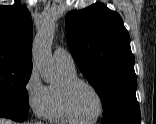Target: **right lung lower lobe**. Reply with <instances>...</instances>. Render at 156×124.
<instances>
[{"label":"right lung lower lobe","instance_id":"1","mask_svg":"<svg viewBox=\"0 0 156 124\" xmlns=\"http://www.w3.org/2000/svg\"><path fill=\"white\" fill-rule=\"evenodd\" d=\"M29 115V106L13 102L0 101V117L9 118L14 121H24Z\"/></svg>","mask_w":156,"mask_h":124}]
</instances>
